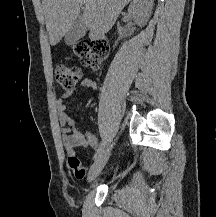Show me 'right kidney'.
I'll return each mask as SVG.
<instances>
[{"label": "right kidney", "instance_id": "1", "mask_svg": "<svg viewBox=\"0 0 216 217\" xmlns=\"http://www.w3.org/2000/svg\"><path fill=\"white\" fill-rule=\"evenodd\" d=\"M153 0H133L128 7V17L140 27L145 26L151 16Z\"/></svg>", "mask_w": 216, "mask_h": 217}]
</instances>
